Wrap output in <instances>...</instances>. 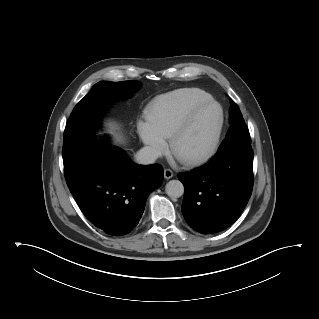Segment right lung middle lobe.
Returning <instances> with one entry per match:
<instances>
[{
	"label": "right lung middle lobe",
	"mask_w": 319,
	"mask_h": 319,
	"mask_svg": "<svg viewBox=\"0 0 319 319\" xmlns=\"http://www.w3.org/2000/svg\"><path fill=\"white\" fill-rule=\"evenodd\" d=\"M140 86L135 80L122 82L102 81L75 106L64 131L63 161L67 162L99 126V117L107 106L121 97H129Z\"/></svg>",
	"instance_id": "obj_1"
}]
</instances>
